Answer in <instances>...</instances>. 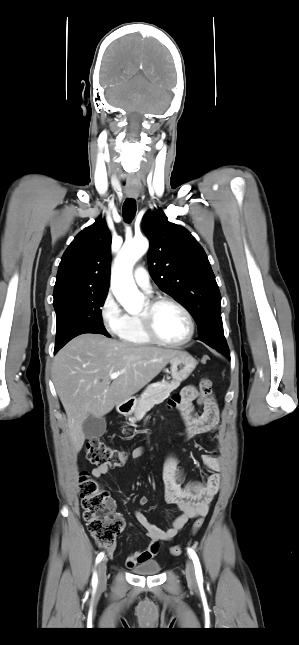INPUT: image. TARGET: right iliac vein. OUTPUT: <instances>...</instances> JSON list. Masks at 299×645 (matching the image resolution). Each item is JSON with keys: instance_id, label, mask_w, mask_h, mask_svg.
<instances>
[{"instance_id": "1", "label": "right iliac vein", "mask_w": 299, "mask_h": 645, "mask_svg": "<svg viewBox=\"0 0 299 645\" xmlns=\"http://www.w3.org/2000/svg\"><path fill=\"white\" fill-rule=\"evenodd\" d=\"M106 571H107V564L106 560H102L99 564L98 567V585L99 587H103L106 584L107 577H106Z\"/></svg>"}]
</instances>
